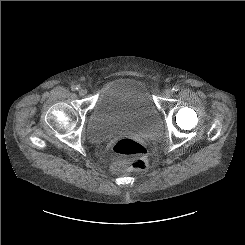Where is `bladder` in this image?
<instances>
[{"label":"bladder","instance_id":"1","mask_svg":"<svg viewBox=\"0 0 245 245\" xmlns=\"http://www.w3.org/2000/svg\"><path fill=\"white\" fill-rule=\"evenodd\" d=\"M160 111L146 82L134 75H120L100 92L86 121L92 142L113 139L121 132L153 136L160 129Z\"/></svg>","mask_w":245,"mask_h":245}]
</instances>
